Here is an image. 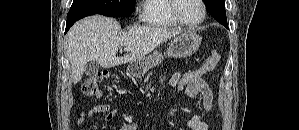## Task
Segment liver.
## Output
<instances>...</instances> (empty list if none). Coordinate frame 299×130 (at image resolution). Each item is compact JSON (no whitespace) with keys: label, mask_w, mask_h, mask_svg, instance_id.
<instances>
[{"label":"liver","mask_w":299,"mask_h":130,"mask_svg":"<svg viewBox=\"0 0 299 130\" xmlns=\"http://www.w3.org/2000/svg\"><path fill=\"white\" fill-rule=\"evenodd\" d=\"M181 33V30L150 26L133 27L123 32L120 24L111 17L94 15L83 18L66 35V53L72 67L73 82L76 84L81 80L90 61L103 68L137 61L162 42ZM121 47H130V53L116 57Z\"/></svg>","instance_id":"obj_1"}]
</instances>
